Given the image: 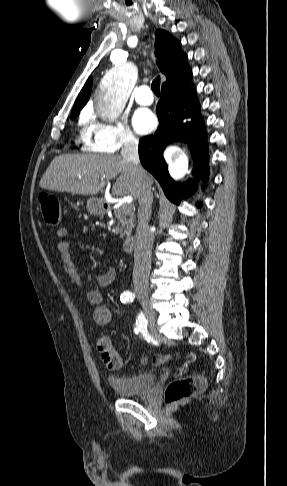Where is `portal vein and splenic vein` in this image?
I'll use <instances>...</instances> for the list:
<instances>
[{"instance_id": "18ae733b", "label": "portal vein and splenic vein", "mask_w": 287, "mask_h": 486, "mask_svg": "<svg viewBox=\"0 0 287 486\" xmlns=\"http://www.w3.org/2000/svg\"><path fill=\"white\" fill-rule=\"evenodd\" d=\"M133 198L132 197H127L123 199L124 205H128L132 202Z\"/></svg>"}]
</instances>
